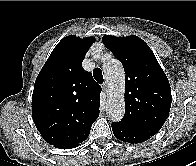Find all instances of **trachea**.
I'll list each match as a JSON object with an SVG mask.
<instances>
[{"instance_id":"3493384b","label":"trachea","mask_w":196,"mask_h":166,"mask_svg":"<svg viewBox=\"0 0 196 166\" xmlns=\"http://www.w3.org/2000/svg\"><path fill=\"white\" fill-rule=\"evenodd\" d=\"M93 76H94L95 80L99 84H102L103 83V81H104L103 74H102V71L99 68L94 69Z\"/></svg>"}]
</instances>
